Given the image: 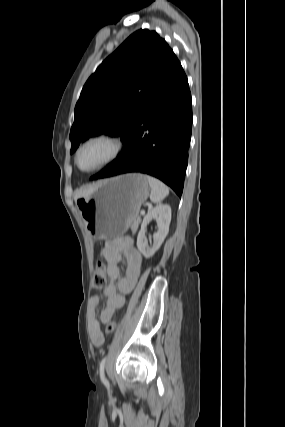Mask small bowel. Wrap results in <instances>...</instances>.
I'll return each mask as SVG.
<instances>
[{"label":"small bowel","instance_id":"small-bowel-1","mask_svg":"<svg viewBox=\"0 0 285 427\" xmlns=\"http://www.w3.org/2000/svg\"><path fill=\"white\" fill-rule=\"evenodd\" d=\"M107 262V275L109 282L104 289L107 298L105 308L100 312V321L108 323L114 312L120 309L125 302L124 295L129 293L135 286L141 271L142 256L134 246V241L129 236L119 237L108 241L102 250ZM126 260V272L119 278V264L122 259ZM100 295L91 297L93 310L98 307ZM91 340L96 347L104 344V334L100 328V322L94 319L91 326Z\"/></svg>","mask_w":285,"mask_h":427}]
</instances>
